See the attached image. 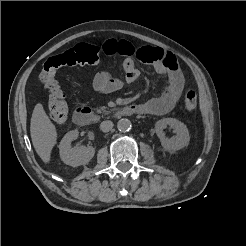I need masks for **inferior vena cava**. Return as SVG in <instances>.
Here are the masks:
<instances>
[{"label":"inferior vena cava","mask_w":246,"mask_h":246,"mask_svg":"<svg viewBox=\"0 0 246 246\" xmlns=\"http://www.w3.org/2000/svg\"><path fill=\"white\" fill-rule=\"evenodd\" d=\"M112 128H113V122L112 121L107 120V121H103L100 124V129L103 132H109Z\"/></svg>","instance_id":"602c4592"}]
</instances>
